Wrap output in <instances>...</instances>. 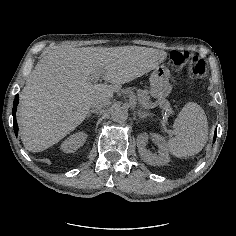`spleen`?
I'll use <instances>...</instances> for the list:
<instances>
[{
	"label": "spleen",
	"mask_w": 236,
	"mask_h": 236,
	"mask_svg": "<svg viewBox=\"0 0 236 236\" xmlns=\"http://www.w3.org/2000/svg\"><path fill=\"white\" fill-rule=\"evenodd\" d=\"M172 128L175 135L168 139V148L176 157L193 156L200 152L207 142L206 114L195 102L182 107Z\"/></svg>",
	"instance_id": "1"
}]
</instances>
